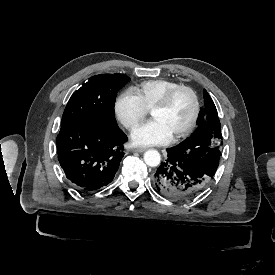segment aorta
<instances>
[{
    "label": "aorta",
    "instance_id": "762f6f07",
    "mask_svg": "<svg viewBox=\"0 0 275 275\" xmlns=\"http://www.w3.org/2000/svg\"><path fill=\"white\" fill-rule=\"evenodd\" d=\"M144 161L150 167H156L160 164L161 157L157 150L150 149L144 153Z\"/></svg>",
    "mask_w": 275,
    "mask_h": 275
}]
</instances>
